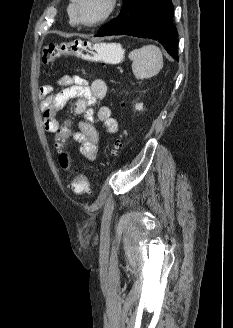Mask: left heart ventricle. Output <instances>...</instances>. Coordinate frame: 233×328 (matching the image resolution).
Returning a JSON list of instances; mask_svg holds the SVG:
<instances>
[{
  "instance_id": "obj_1",
  "label": "left heart ventricle",
  "mask_w": 233,
  "mask_h": 328,
  "mask_svg": "<svg viewBox=\"0 0 233 328\" xmlns=\"http://www.w3.org/2000/svg\"><path fill=\"white\" fill-rule=\"evenodd\" d=\"M107 8V0H80L79 11L84 21L99 19Z\"/></svg>"
}]
</instances>
